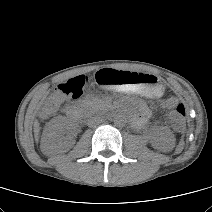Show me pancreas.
Listing matches in <instances>:
<instances>
[{
    "mask_svg": "<svg viewBox=\"0 0 212 212\" xmlns=\"http://www.w3.org/2000/svg\"><path fill=\"white\" fill-rule=\"evenodd\" d=\"M101 105V100L98 98H88L84 101V106L86 109L91 110Z\"/></svg>",
    "mask_w": 212,
    "mask_h": 212,
    "instance_id": "cf45deb5",
    "label": "pancreas"
}]
</instances>
